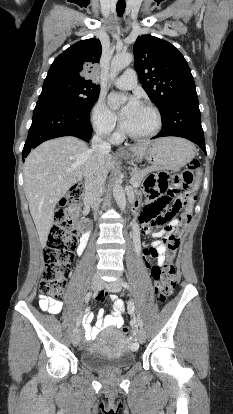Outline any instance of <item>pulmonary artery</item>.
Segmentation results:
<instances>
[{
    "mask_svg": "<svg viewBox=\"0 0 233 414\" xmlns=\"http://www.w3.org/2000/svg\"><path fill=\"white\" fill-rule=\"evenodd\" d=\"M114 83L121 89H131L137 84V74L134 69H127Z\"/></svg>",
    "mask_w": 233,
    "mask_h": 414,
    "instance_id": "e3ab8cb5",
    "label": "pulmonary artery"
}]
</instances>
